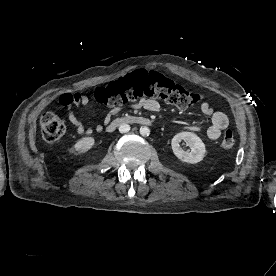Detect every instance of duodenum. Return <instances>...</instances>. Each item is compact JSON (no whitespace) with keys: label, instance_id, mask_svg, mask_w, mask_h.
I'll return each mask as SVG.
<instances>
[{"label":"duodenum","instance_id":"duodenum-1","mask_svg":"<svg viewBox=\"0 0 276 276\" xmlns=\"http://www.w3.org/2000/svg\"><path fill=\"white\" fill-rule=\"evenodd\" d=\"M123 124L150 125L151 121L148 118L141 117V116H135V115L120 116V117L113 119L107 125L106 129L108 132H112L118 126L123 125Z\"/></svg>","mask_w":276,"mask_h":276}]
</instances>
